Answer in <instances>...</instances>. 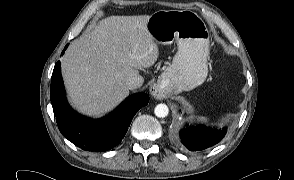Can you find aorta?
Segmentation results:
<instances>
[{"label":"aorta","mask_w":294,"mask_h":180,"mask_svg":"<svg viewBox=\"0 0 294 180\" xmlns=\"http://www.w3.org/2000/svg\"><path fill=\"white\" fill-rule=\"evenodd\" d=\"M154 113L157 117L164 118L169 113L168 106L166 104H162V103L158 104L154 109Z\"/></svg>","instance_id":"obj_1"}]
</instances>
